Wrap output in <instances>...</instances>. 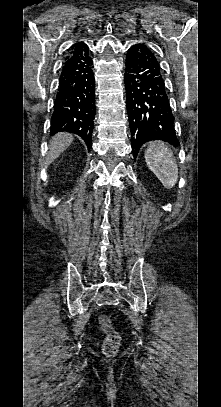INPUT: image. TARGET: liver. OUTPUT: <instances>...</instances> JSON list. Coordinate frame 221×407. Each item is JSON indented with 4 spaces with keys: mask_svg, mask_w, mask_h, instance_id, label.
I'll use <instances>...</instances> for the list:
<instances>
[{
    "mask_svg": "<svg viewBox=\"0 0 221 407\" xmlns=\"http://www.w3.org/2000/svg\"><path fill=\"white\" fill-rule=\"evenodd\" d=\"M73 135L67 132L58 133L52 137L46 155L45 166L58 158L73 142Z\"/></svg>",
    "mask_w": 221,
    "mask_h": 407,
    "instance_id": "6515ba94",
    "label": "liver"
}]
</instances>
